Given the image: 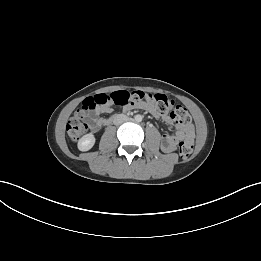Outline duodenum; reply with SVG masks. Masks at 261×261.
I'll use <instances>...</instances> for the list:
<instances>
[{"instance_id": "obj_1", "label": "duodenum", "mask_w": 261, "mask_h": 261, "mask_svg": "<svg viewBox=\"0 0 261 261\" xmlns=\"http://www.w3.org/2000/svg\"><path fill=\"white\" fill-rule=\"evenodd\" d=\"M114 118L115 117H112L111 119L107 120V124L111 123Z\"/></svg>"}]
</instances>
